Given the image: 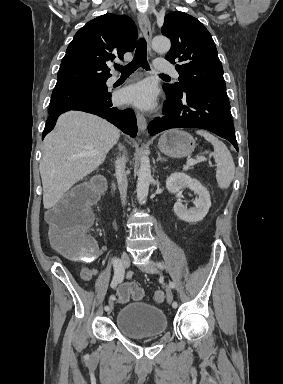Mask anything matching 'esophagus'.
Here are the masks:
<instances>
[{
    "label": "esophagus",
    "mask_w": 283,
    "mask_h": 384,
    "mask_svg": "<svg viewBox=\"0 0 283 384\" xmlns=\"http://www.w3.org/2000/svg\"><path fill=\"white\" fill-rule=\"evenodd\" d=\"M137 18L139 22V27L148 44V52L151 54L152 53V45H151L152 31H151L150 22L145 14L139 13ZM136 117H137L138 129L139 131L143 132L146 129V118L140 112H136Z\"/></svg>",
    "instance_id": "obj_1"
}]
</instances>
